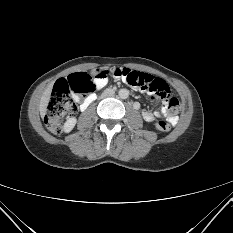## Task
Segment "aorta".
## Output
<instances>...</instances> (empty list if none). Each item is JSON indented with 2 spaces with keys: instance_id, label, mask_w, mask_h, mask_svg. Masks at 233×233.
Listing matches in <instances>:
<instances>
[{
  "instance_id": "aorta-1",
  "label": "aorta",
  "mask_w": 233,
  "mask_h": 233,
  "mask_svg": "<svg viewBox=\"0 0 233 233\" xmlns=\"http://www.w3.org/2000/svg\"><path fill=\"white\" fill-rule=\"evenodd\" d=\"M118 95L121 99H126L129 96V91L127 89H120Z\"/></svg>"
}]
</instances>
